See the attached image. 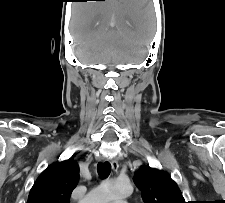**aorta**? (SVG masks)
<instances>
[{
  "label": "aorta",
  "mask_w": 225,
  "mask_h": 203,
  "mask_svg": "<svg viewBox=\"0 0 225 203\" xmlns=\"http://www.w3.org/2000/svg\"><path fill=\"white\" fill-rule=\"evenodd\" d=\"M132 193V186L127 181L107 180L92 189L82 203H113Z\"/></svg>",
  "instance_id": "1"
}]
</instances>
